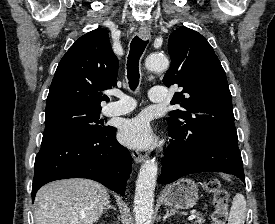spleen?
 Masks as SVG:
<instances>
[{"label": "spleen", "instance_id": "spleen-1", "mask_svg": "<svg viewBox=\"0 0 275 224\" xmlns=\"http://www.w3.org/2000/svg\"><path fill=\"white\" fill-rule=\"evenodd\" d=\"M245 217L246 200L241 193H238L233 198L232 206L229 213L228 224H244Z\"/></svg>", "mask_w": 275, "mask_h": 224}]
</instances>
